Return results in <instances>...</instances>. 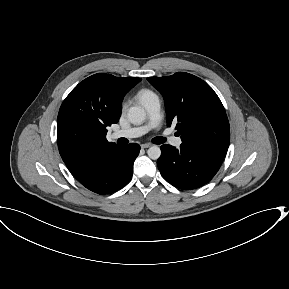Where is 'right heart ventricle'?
Instances as JSON below:
<instances>
[{"mask_svg":"<svg viewBox=\"0 0 289 289\" xmlns=\"http://www.w3.org/2000/svg\"><path fill=\"white\" fill-rule=\"evenodd\" d=\"M156 97L155 93L149 89H142L137 93V99L145 105L150 99Z\"/></svg>","mask_w":289,"mask_h":289,"instance_id":"obj_1","label":"right heart ventricle"}]
</instances>
